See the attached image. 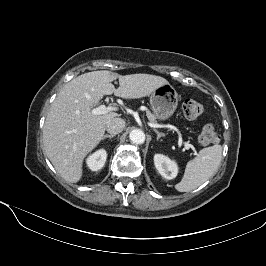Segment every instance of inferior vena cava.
<instances>
[{"label": "inferior vena cava", "instance_id": "obj_1", "mask_svg": "<svg viewBox=\"0 0 266 266\" xmlns=\"http://www.w3.org/2000/svg\"><path fill=\"white\" fill-rule=\"evenodd\" d=\"M125 128V121L121 118H113L106 124V130L110 134H119Z\"/></svg>", "mask_w": 266, "mask_h": 266}]
</instances>
